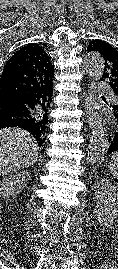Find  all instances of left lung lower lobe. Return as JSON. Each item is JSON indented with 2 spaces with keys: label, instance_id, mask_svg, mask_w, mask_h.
Here are the masks:
<instances>
[{
  "label": "left lung lower lobe",
  "instance_id": "1",
  "mask_svg": "<svg viewBox=\"0 0 118 269\" xmlns=\"http://www.w3.org/2000/svg\"><path fill=\"white\" fill-rule=\"evenodd\" d=\"M116 105V104H115ZM113 110V114L115 116V118L117 119L116 121V128H115V132L112 136V138L110 137L109 139V145H108V148H107V154H111L115 151H118V105L117 106H114V105H111L110 106Z\"/></svg>",
  "mask_w": 118,
  "mask_h": 269
}]
</instances>
